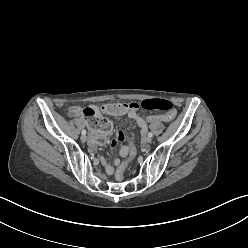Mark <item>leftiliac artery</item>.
Masks as SVG:
<instances>
[{
	"mask_svg": "<svg viewBox=\"0 0 248 248\" xmlns=\"http://www.w3.org/2000/svg\"><path fill=\"white\" fill-rule=\"evenodd\" d=\"M148 136H149V137H152V136H153L152 132H149V133H148Z\"/></svg>",
	"mask_w": 248,
	"mask_h": 248,
	"instance_id": "1",
	"label": "left iliac artery"
}]
</instances>
